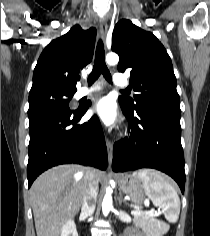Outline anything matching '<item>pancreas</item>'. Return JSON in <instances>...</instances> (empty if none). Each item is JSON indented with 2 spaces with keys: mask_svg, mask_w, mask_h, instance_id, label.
<instances>
[{
  "mask_svg": "<svg viewBox=\"0 0 210 236\" xmlns=\"http://www.w3.org/2000/svg\"><path fill=\"white\" fill-rule=\"evenodd\" d=\"M134 224L136 226H140L147 230L149 233L152 234V236H157L158 233V225L157 220L154 217L140 214V215H134Z\"/></svg>",
  "mask_w": 210,
  "mask_h": 236,
  "instance_id": "pancreas-1",
  "label": "pancreas"
}]
</instances>
